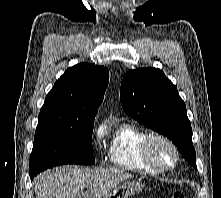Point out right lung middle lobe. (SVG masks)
Returning a JSON list of instances; mask_svg holds the SVG:
<instances>
[{"label":"right lung middle lobe","instance_id":"1","mask_svg":"<svg viewBox=\"0 0 221 198\" xmlns=\"http://www.w3.org/2000/svg\"><path fill=\"white\" fill-rule=\"evenodd\" d=\"M93 127L84 130L36 128L30 155L29 175L63 164H94Z\"/></svg>","mask_w":221,"mask_h":198}]
</instances>
